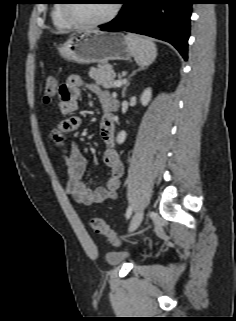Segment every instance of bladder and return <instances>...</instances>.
Here are the masks:
<instances>
[{"label":"bladder","instance_id":"31cf9c89","mask_svg":"<svg viewBox=\"0 0 236 321\" xmlns=\"http://www.w3.org/2000/svg\"><path fill=\"white\" fill-rule=\"evenodd\" d=\"M129 257L130 255L125 252H109L106 254L107 260L114 265L127 260Z\"/></svg>","mask_w":236,"mask_h":321}]
</instances>
